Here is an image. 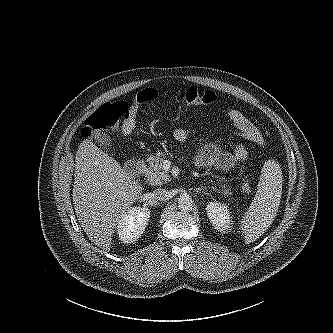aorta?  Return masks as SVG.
I'll use <instances>...</instances> for the list:
<instances>
[{
	"mask_svg": "<svg viewBox=\"0 0 333 333\" xmlns=\"http://www.w3.org/2000/svg\"><path fill=\"white\" fill-rule=\"evenodd\" d=\"M178 207L183 212L191 211L193 208L192 197L188 194H181L178 198Z\"/></svg>",
	"mask_w": 333,
	"mask_h": 333,
	"instance_id": "762f6f07",
	"label": "aorta"
}]
</instances>
